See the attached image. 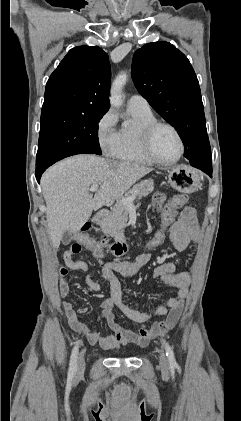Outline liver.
<instances>
[{
    "mask_svg": "<svg viewBox=\"0 0 241 421\" xmlns=\"http://www.w3.org/2000/svg\"><path fill=\"white\" fill-rule=\"evenodd\" d=\"M152 170L141 164L90 154L76 155L48 168L41 178V188L53 247H59L65 231L76 233L93 210L122 197ZM93 184L100 185L94 197L90 193Z\"/></svg>",
    "mask_w": 241,
    "mask_h": 421,
    "instance_id": "obj_1",
    "label": "liver"
}]
</instances>
